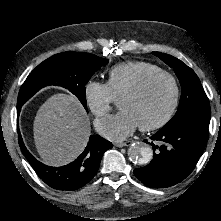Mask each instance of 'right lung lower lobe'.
Returning a JSON list of instances; mask_svg holds the SVG:
<instances>
[{"label": "right lung lower lobe", "instance_id": "obj_1", "mask_svg": "<svg viewBox=\"0 0 221 221\" xmlns=\"http://www.w3.org/2000/svg\"><path fill=\"white\" fill-rule=\"evenodd\" d=\"M17 110V115L20 113ZM19 145L37 175L50 187L62 191H74L89 183L96 175L104 152L112 148V143L91 135L84 152L72 163L62 167H50L37 161L26 149L20 132Z\"/></svg>", "mask_w": 221, "mask_h": 221}]
</instances>
